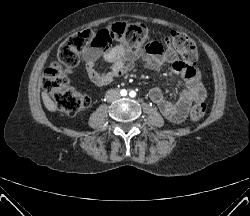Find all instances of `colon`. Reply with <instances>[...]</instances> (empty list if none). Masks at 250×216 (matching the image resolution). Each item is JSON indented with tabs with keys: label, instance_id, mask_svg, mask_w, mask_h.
I'll return each mask as SVG.
<instances>
[{
	"label": "colon",
	"instance_id": "obj_1",
	"mask_svg": "<svg viewBox=\"0 0 250 216\" xmlns=\"http://www.w3.org/2000/svg\"><path fill=\"white\" fill-rule=\"evenodd\" d=\"M153 40L149 29L141 23H114L98 31L85 30L70 36L58 49L57 61L44 72L43 88L54 100L57 108L73 116L90 105L86 94L76 91L70 84L69 73L80 60V54L90 47L109 48L114 42L130 48H140ZM170 47L181 55L183 61L193 65L198 57L195 42L184 33L172 31L165 36ZM204 101L196 102L190 111V119L200 121L206 112Z\"/></svg>",
	"mask_w": 250,
	"mask_h": 216
}]
</instances>
